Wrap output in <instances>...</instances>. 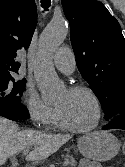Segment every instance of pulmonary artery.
<instances>
[{
	"instance_id": "pulmonary-artery-1",
	"label": "pulmonary artery",
	"mask_w": 125,
	"mask_h": 167,
	"mask_svg": "<svg viewBox=\"0 0 125 167\" xmlns=\"http://www.w3.org/2000/svg\"><path fill=\"white\" fill-rule=\"evenodd\" d=\"M55 67L66 74H71L75 69V57L69 47L60 48L53 56Z\"/></svg>"
}]
</instances>
